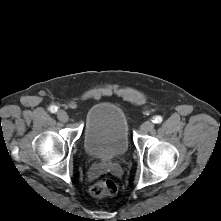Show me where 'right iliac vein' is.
<instances>
[{
    "label": "right iliac vein",
    "mask_w": 221,
    "mask_h": 221,
    "mask_svg": "<svg viewBox=\"0 0 221 221\" xmlns=\"http://www.w3.org/2000/svg\"><path fill=\"white\" fill-rule=\"evenodd\" d=\"M57 117L62 122H67L69 119L68 114L64 110H59L57 112Z\"/></svg>",
    "instance_id": "obj_1"
}]
</instances>
